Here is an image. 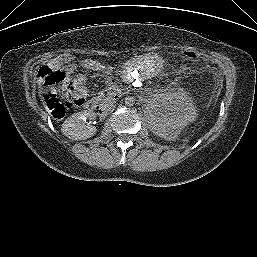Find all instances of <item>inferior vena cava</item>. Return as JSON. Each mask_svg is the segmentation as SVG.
<instances>
[{"label":"inferior vena cava","mask_w":257,"mask_h":257,"mask_svg":"<svg viewBox=\"0 0 257 257\" xmlns=\"http://www.w3.org/2000/svg\"><path fill=\"white\" fill-rule=\"evenodd\" d=\"M112 107H114V102L113 101H107L106 103H104L102 105V110L103 111H108L110 110Z\"/></svg>","instance_id":"602c4592"}]
</instances>
